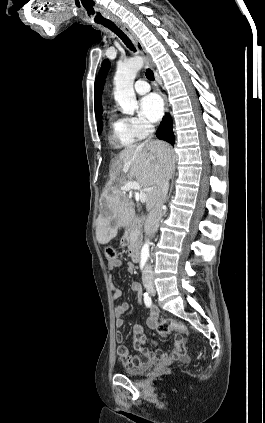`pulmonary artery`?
I'll use <instances>...</instances> for the list:
<instances>
[{"mask_svg":"<svg viewBox=\"0 0 265 423\" xmlns=\"http://www.w3.org/2000/svg\"><path fill=\"white\" fill-rule=\"evenodd\" d=\"M134 89L138 94H145L150 91V85L143 79H139L134 84Z\"/></svg>","mask_w":265,"mask_h":423,"instance_id":"obj_1","label":"pulmonary artery"}]
</instances>
